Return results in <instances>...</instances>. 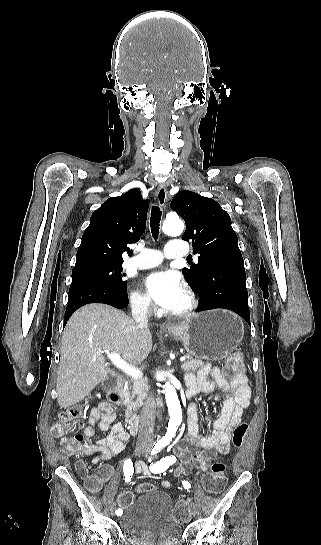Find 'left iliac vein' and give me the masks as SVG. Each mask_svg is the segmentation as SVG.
I'll list each match as a JSON object with an SVG mask.
<instances>
[{
    "instance_id": "left-iliac-vein-1",
    "label": "left iliac vein",
    "mask_w": 321,
    "mask_h": 545,
    "mask_svg": "<svg viewBox=\"0 0 321 545\" xmlns=\"http://www.w3.org/2000/svg\"><path fill=\"white\" fill-rule=\"evenodd\" d=\"M146 457H148V453L146 454ZM149 459H151V458L149 457ZM197 511H198L197 504L194 503V502L191 503V505H190V512H191V515H192V516H195V515L197 514Z\"/></svg>"
}]
</instances>
